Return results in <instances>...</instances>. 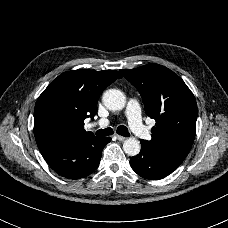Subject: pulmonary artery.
Instances as JSON below:
<instances>
[{"label":"pulmonary artery","instance_id":"pulmonary-artery-1","mask_svg":"<svg viewBox=\"0 0 228 228\" xmlns=\"http://www.w3.org/2000/svg\"><path fill=\"white\" fill-rule=\"evenodd\" d=\"M127 109L130 111V124L134 129L137 138L139 140H146L148 138V131L141 118V107L139 106V103L136 100H129L127 102ZM109 123L110 121L108 119H101L98 122L89 123L88 127H106Z\"/></svg>","mask_w":228,"mask_h":228}]
</instances>
